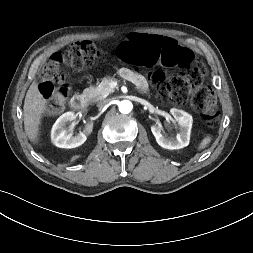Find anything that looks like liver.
<instances>
[{
  "label": "liver",
  "mask_w": 253,
  "mask_h": 253,
  "mask_svg": "<svg viewBox=\"0 0 253 253\" xmlns=\"http://www.w3.org/2000/svg\"><path fill=\"white\" fill-rule=\"evenodd\" d=\"M46 100L40 93L38 84L33 81L24 101V129L31 142L36 143L39 135V125L45 110Z\"/></svg>",
  "instance_id": "liver-1"
}]
</instances>
